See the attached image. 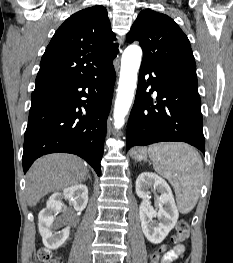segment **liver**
<instances>
[{
  "label": "liver",
  "mask_w": 233,
  "mask_h": 263,
  "mask_svg": "<svg viewBox=\"0 0 233 263\" xmlns=\"http://www.w3.org/2000/svg\"><path fill=\"white\" fill-rule=\"evenodd\" d=\"M89 176L86 165L77 156L50 154L36 160L26 175V199L30 207L54 191L75 186Z\"/></svg>",
  "instance_id": "1"
}]
</instances>
